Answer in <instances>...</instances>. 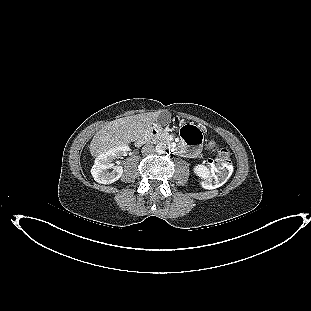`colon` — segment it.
Here are the masks:
<instances>
[{"instance_id":"colon-1","label":"colon","mask_w":311,"mask_h":311,"mask_svg":"<svg viewBox=\"0 0 311 311\" xmlns=\"http://www.w3.org/2000/svg\"><path fill=\"white\" fill-rule=\"evenodd\" d=\"M182 135L190 144H199L201 141L200 132H196L191 126H184ZM210 147L215 148L216 156L210 161L211 175L208 183L210 185H222L232 173L233 166L230 153L227 149L216 147L214 144H211Z\"/></svg>"}]
</instances>
